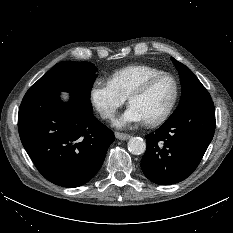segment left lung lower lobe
Here are the masks:
<instances>
[{
	"instance_id": "1",
	"label": "left lung lower lobe",
	"mask_w": 233,
	"mask_h": 233,
	"mask_svg": "<svg viewBox=\"0 0 233 233\" xmlns=\"http://www.w3.org/2000/svg\"><path fill=\"white\" fill-rule=\"evenodd\" d=\"M214 131L213 102L167 119L155 133L146 135L147 150L141 160L143 173L159 185L183 181L199 165Z\"/></svg>"
}]
</instances>
